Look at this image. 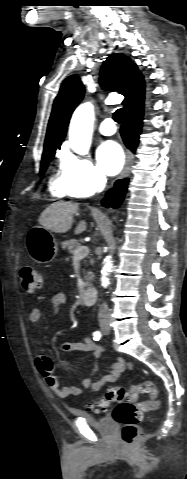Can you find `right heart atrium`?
<instances>
[{
	"label": "right heart atrium",
	"instance_id": "d8ad5b80",
	"mask_svg": "<svg viewBox=\"0 0 187 479\" xmlns=\"http://www.w3.org/2000/svg\"><path fill=\"white\" fill-rule=\"evenodd\" d=\"M60 173L67 194L72 197L92 196L106 184V177L97 165L71 153L63 156Z\"/></svg>",
	"mask_w": 187,
	"mask_h": 479
}]
</instances>
